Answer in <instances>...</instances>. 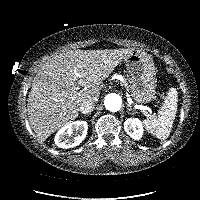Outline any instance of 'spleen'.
Segmentation results:
<instances>
[{
  "instance_id": "spleen-1",
  "label": "spleen",
  "mask_w": 200,
  "mask_h": 200,
  "mask_svg": "<svg viewBox=\"0 0 200 200\" xmlns=\"http://www.w3.org/2000/svg\"><path fill=\"white\" fill-rule=\"evenodd\" d=\"M177 101V90L171 88L165 103L158 111V115L144 120L146 130L160 140L167 139L172 131L173 122L177 113Z\"/></svg>"
}]
</instances>
